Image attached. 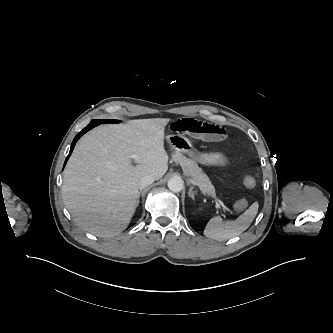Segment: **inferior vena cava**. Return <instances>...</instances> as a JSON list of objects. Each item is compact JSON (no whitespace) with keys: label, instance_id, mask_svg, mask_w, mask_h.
<instances>
[{"label":"inferior vena cava","instance_id":"602c4592","mask_svg":"<svg viewBox=\"0 0 333 333\" xmlns=\"http://www.w3.org/2000/svg\"><path fill=\"white\" fill-rule=\"evenodd\" d=\"M155 181V178L151 175H146L141 178V180L138 183V187L140 190L146 188L150 184H152Z\"/></svg>","mask_w":333,"mask_h":333}]
</instances>
